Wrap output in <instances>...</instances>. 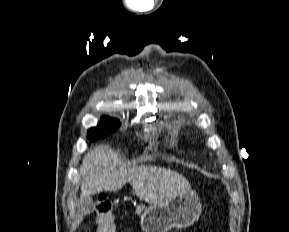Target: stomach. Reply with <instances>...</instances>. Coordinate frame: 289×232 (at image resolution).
I'll return each instance as SVG.
<instances>
[{"label":"stomach","mask_w":289,"mask_h":232,"mask_svg":"<svg viewBox=\"0 0 289 232\" xmlns=\"http://www.w3.org/2000/svg\"><path fill=\"white\" fill-rule=\"evenodd\" d=\"M202 204L198 195L190 190L161 204H140L135 213L141 217L144 232H168L173 228L183 229L198 220Z\"/></svg>","instance_id":"stomach-1"}]
</instances>
